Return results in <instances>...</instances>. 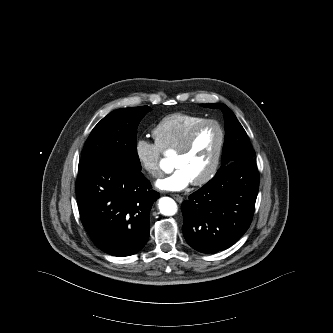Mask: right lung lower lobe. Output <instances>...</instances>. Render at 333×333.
<instances>
[{"instance_id": "obj_1", "label": "right lung lower lobe", "mask_w": 333, "mask_h": 333, "mask_svg": "<svg viewBox=\"0 0 333 333\" xmlns=\"http://www.w3.org/2000/svg\"><path fill=\"white\" fill-rule=\"evenodd\" d=\"M76 194L82 223L99 249L122 257L144 247L160 195L140 170L116 160L80 161Z\"/></svg>"}]
</instances>
